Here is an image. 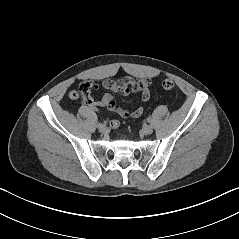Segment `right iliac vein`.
<instances>
[{"label": "right iliac vein", "mask_w": 239, "mask_h": 239, "mask_svg": "<svg viewBox=\"0 0 239 239\" xmlns=\"http://www.w3.org/2000/svg\"><path fill=\"white\" fill-rule=\"evenodd\" d=\"M98 129H99V131L102 132V133H104V132L107 130L106 126L103 125V124H102L100 127H98Z\"/></svg>", "instance_id": "63e3f726"}]
</instances>
